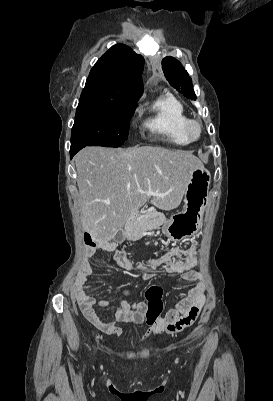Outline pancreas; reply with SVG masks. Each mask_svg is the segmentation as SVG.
I'll list each match as a JSON object with an SVG mask.
<instances>
[{
	"mask_svg": "<svg viewBox=\"0 0 273 401\" xmlns=\"http://www.w3.org/2000/svg\"><path fill=\"white\" fill-rule=\"evenodd\" d=\"M164 223H166V217L163 213H158V211L141 213L134 223H126L127 239L128 241H139L141 237H144L143 233L151 231V229H158Z\"/></svg>",
	"mask_w": 273,
	"mask_h": 401,
	"instance_id": "1",
	"label": "pancreas"
}]
</instances>
